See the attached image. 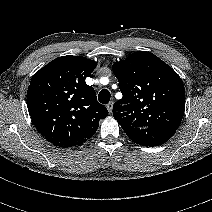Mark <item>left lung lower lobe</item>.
Listing matches in <instances>:
<instances>
[{
	"mask_svg": "<svg viewBox=\"0 0 212 212\" xmlns=\"http://www.w3.org/2000/svg\"><path fill=\"white\" fill-rule=\"evenodd\" d=\"M176 132L175 129L162 127L135 128L128 137L142 146H158L167 142Z\"/></svg>",
	"mask_w": 212,
	"mask_h": 212,
	"instance_id": "obj_1",
	"label": "left lung lower lobe"
}]
</instances>
